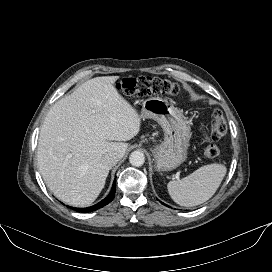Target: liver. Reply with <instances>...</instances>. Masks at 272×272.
<instances>
[{
    "instance_id": "obj_1",
    "label": "liver",
    "mask_w": 272,
    "mask_h": 272,
    "mask_svg": "<svg viewBox=\"0 0 272 272\" xmlns=\"http://www.w3.org/2000/svg\"><path fill=\"white\" fill-rule=\"evenodd\" d=\"M119 76L90 79L57 101L41 127L37 158L53 194L66 204L93 203L112 166L102 157L124 156L128 141L140 131V117L117 91ZM116 141V142H115Z\"/></svg>"
}]
</instances>
